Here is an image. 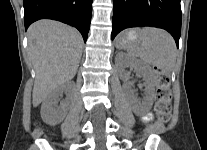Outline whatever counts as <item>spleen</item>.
<instances>
[{
    "label": "spleen",
    "instance_id": "1",
    "mask_svg": "<svg viewBox=\"0 0 207 150\" xmlns=\"http://www.w3.org/2000/svg\"><path fill=\"white\" fill-rule=\"evenodd\" d=\"M129 56L140 57L145 63L170 73L176 63V44L173 37L163 29L143 28L138 41L126 48Z\"/></svg>",
    "mask_w": 207,
    "mask_h": 150
}]
</instances>
